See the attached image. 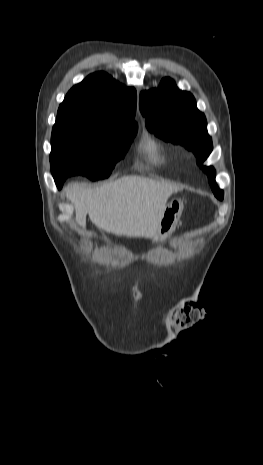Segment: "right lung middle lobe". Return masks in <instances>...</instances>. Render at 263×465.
Wrapping results in <instances>:
<instances>
[{
    "instance_id": "right-lung-middle-lobe-1",
    "label": "right lung middle lobe",
    "mask_w": 263,
    "mask_h": 465,
    "mask_svg": "<svg viewBox=\"0 0 263 465\" xmlns=\"http://www.w3.org/2000/svg\"><path fill=\"white\" fill-rule=\"evenodd\" d=\"M130 120L84 113H57L51 135V172L54 178L85 175L107 178L137 133Z\"/></svg>"
}]
</instances>
